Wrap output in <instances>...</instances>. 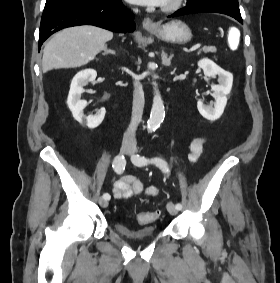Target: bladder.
Here are the masks:
<instances>
[{"mask_svg":"<svg viewBox=\"0 0 280 283\" xmlns=\"http://www.w3.org/2000/svg\"><path fill=\"white\" fill-rule=\"evenodd\" d=\"M114 229L120 236L134 241L147 240L153 238L156 234L155 227L152 225L131 229L121 222H116L114 224Z\"/></svg>","mask_w":280,"mask_h":283,"instance_id":"31cf9c89","label":"bladder"}]
</instances>
